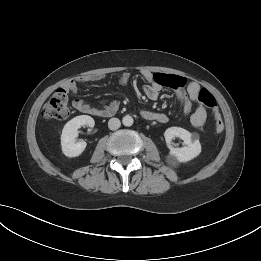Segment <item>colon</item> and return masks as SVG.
<instances>
[{"label": "colon", "instance_id": "colon-1", "mask_svg": "<svg viewBox=\"0 0 261 261\" xmlns=\"http://www.w3.org/2000/svg\"><path fill=\"white\" fill-rule=\"evenodd\" d=\"M199 102L210 109H212L215 129L217 132L224 130V123L220 113L217 110L216 100L214 96L206 89H201L199 92ZM42 114L47 119L63 120L69 116V109L67 104V95L65 90H57L50 100L45 104Z\"/></svg>", "mask_w": 261, "mask_h": 261}]
</instances>
